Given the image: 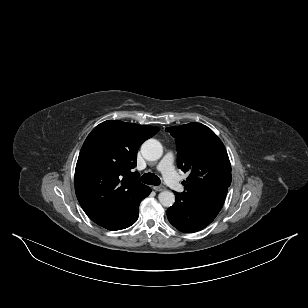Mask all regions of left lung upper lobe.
<instances>
[{"mask_svg": "<svg viewBox=\"0 0 308 308\" xmlns=\"http://www.w3.org/2000/svg\"><path fill=\"white\" fill-rule=\"evenodd\" d=\"M176 140L178 167L189 172L180 193L192 200L226 189L231 184V164L222 141L207 126L189 123L166 128Z\"/></svg>", "mask_w": 308, "mask_h": 308, "instance_id": "1", "label": "left lung upper lobe"}]
</instances>
